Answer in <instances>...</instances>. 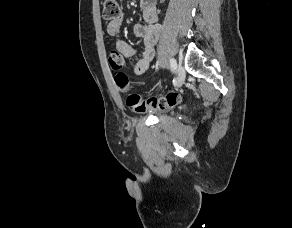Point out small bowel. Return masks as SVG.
Wrapping results in <instances>:
<instances>
[{
  "mask_svg": "<svg viewBox=\"0 0 292 228\" xmlns=\"http://www.w3.org/2000/svg\"><path fill=\"white\" fill-rule=\"evenodd\" d=\"M143 23L137 24L133 27V34L135 37L142 40V53L133 66L135 75H142L145 73L155 54V45L157 43L160 27L154 3L152 0H141L140 3ZM122 24V18L111 21L107 27V32L111 36H117ZM115 52H117L122 59L129 58L135 55L136 50L133 46L122 39H117L115 43Z\"/></svg>",
  "mask_w": 292,
  "mask_h": 228,
  "instance_id": "obj_1",
  "label": "small bowel"
}]
</instances>
